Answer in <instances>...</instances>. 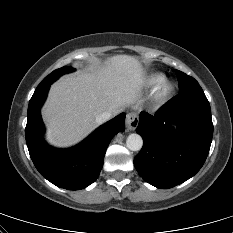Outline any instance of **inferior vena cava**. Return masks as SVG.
Instances as JSON below:
<instances>
[{"label": "inferior vena cava", "mask_w": 233, "mask_h": 233, "mask_svg": "<svg viewBox=\"0 0 233 233\" xmlns=\"http://www.w3.org/2000/svg\"><path fill=\"white\" fill-rule=\"evenodd\" d=\"M112 116H113L112 112L105 111L96 117V122H97V124H102V123L106 122L107 120H109Z\"/></svg>", "instance_id": "obj_1"}]
</instances>
